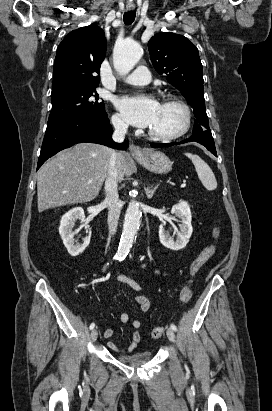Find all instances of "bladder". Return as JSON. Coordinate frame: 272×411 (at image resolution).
I'll return each mask as SVG.
<instances>
[{
	"label": "bladder",
	"instance_id": "31cf9c89",
	"mask_svg": "<svg viewBox=\"0 0 272 411\" xmlns=\"http://www.w3.org/2000/svg\"><path fill=\"white\" fill-rule=\"evenodd\" d=\"M150 352L133 353L128 355H118L117 359L125 364L139 365L148 362L151 359Z\"/></svg>",
	"mask_w": 272,
	"mask_h": 411
}]
</instances>
